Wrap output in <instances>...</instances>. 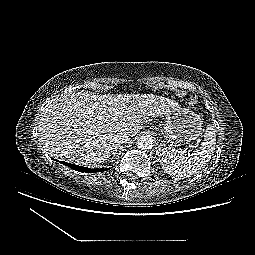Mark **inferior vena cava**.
Segmentation results:
<instances>
[{"label":"inferior vena cava","mask_w":255,"mask_h":255,"mask_svg":"<svg viewBox=\"0 0 255 255\" xmlns=\"http://www.w3.org/2000/svg\"><path fill=\"white\" fill-rule=\"evenodd\" d=\"M130 140V135L128 133H117L114 138L115 144L118 146L120 144L127 143Z\"/></svg>","instance_id":"1"}]
</instances>
